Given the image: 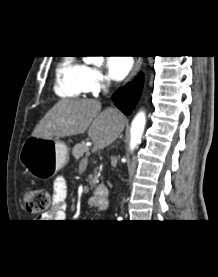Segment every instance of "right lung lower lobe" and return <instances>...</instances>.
<instances>
[{
	"mask_svg": "<svg viewBox=\"0 0 218 277\" xmlns=\"http://www.w3.org/2000/svg\"><path fill=\"white\" fill-rule=\"evenodd\" d=\"M143 87V74H140L136 80L127 84L124 88L117 90L113 94L116 106L125 114H130L134 109Z\"/></svg>",
	"mask_w": 218,
	"mask_h": 277,
	"instance_id": "1",
	"label": "right lung lower lobe"
}]
</instances>
